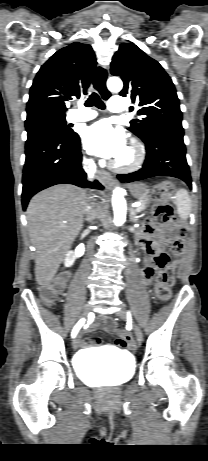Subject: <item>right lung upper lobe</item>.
I'll list each match as a JSON object with an SVG mask.
<instances>
[{"label": "right lung upper lobe", "instance_id": "1", "mask_svg": "<svg viewBox=\"0 0 208 461\" xmlns=\"http://www.w3.org/2000/svg\"><path fill=\"white\" fill-rule=\"evenodd\" d=\"M96 66L95 53L85 43L74 42L43 64L30 89L27 117L35 115L65 116L71 96L87 94Z\"/></svg>", "mask_w": 208, "mask_h": 461}]
</instances>
